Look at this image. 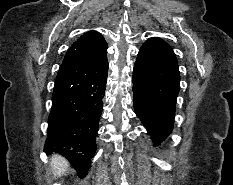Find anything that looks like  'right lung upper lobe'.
I'll return each mask as SVG.
<instances>
[{"instance_id":"right-lung-upper-lobe-1","label":"right lung upper lobe","mask_w":233,"mask_h":185,"mask_svg":"<svg viewBox=\"0 0 233 185\" xmlns=\"http://www.w3.org/2000/svg\"><path fill=\"white\" fill-rule=\"evenodd\" d=\"M107 58V43L96 31H89L81 36L67 51L62 64L93 63Z\"/></svg>"}]
</instances>
